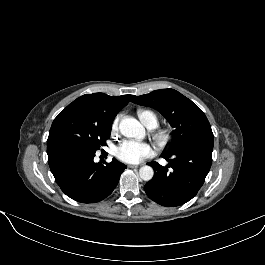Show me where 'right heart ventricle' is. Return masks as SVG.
Returning a JSON list of instances; mask_svg holds the SVG:
<instances>
[{
  "instance_id": "e07e8e85",
  "label": "right heart ventricle",
  "mask_w": 265,
  "mask_h": 265,
  "mask_svg": "<svg viewBox=\"0 0 265 265\" xmlns=\"http://www.w3.org/2000/svg\"><path fill=\"white\" fill-rule=\"evenodd\" d=\"M137 114H138V117L141 120V122L146 127L155 128L158 125V117L154 112H152L150 110L139 109L137 111Z\"/></svg>"
}]
</instances>
